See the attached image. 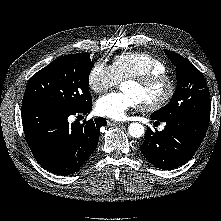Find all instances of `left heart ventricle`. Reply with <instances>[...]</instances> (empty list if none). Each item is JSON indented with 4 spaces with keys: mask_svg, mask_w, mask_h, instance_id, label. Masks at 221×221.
<instances>
[{
    "mask_svg": "<svg viewBox=\"0 0 221 221\" xmlns=\"http://www.w3.org/2000/svg\"><path fill=\"white\" fill-rule=\"evenodd\" d=\"M125 93L132 95L137 104H150L159 100L166 92V85L162 82L150 87L142 88L133 82H125L122 86Z\"/></svg>",
    "mask_w": 221,
    "mask_h": 221,
    "instance_id": "b2bd125f",
    "label": "left heart ventricle"
}]
</instances>
